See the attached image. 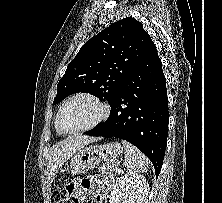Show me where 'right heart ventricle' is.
Here are the masks:
<instances>
[{
  "instance_id": "e07e8e85",
  "label": "right heart ventricle",
  "mask_w": 222,
  "mask_h": 203,
  "mask_svg": "<svg viewBox=\"0 0 222 203\" xmlns=\"http://www.w3.org/2000/svg\"><path fill=\"white\" fill-rule=\"evenodd\" d=\"M56 130H57V128H56ZM57 132H58L59 134H61L58 130H57Z\"/></svg>"
}]
</instances>
